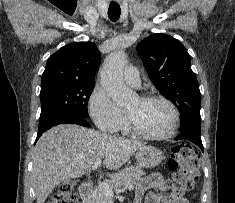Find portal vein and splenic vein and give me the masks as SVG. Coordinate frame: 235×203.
<instances>
[{
    "label": "portal vein and splenic vein",
    "instance_id": "portal-vein-and-splenic-vein-1",
    "mask_svg": "<svg viewBox=\"0 0 235 203\" xmlns=\"http://www.w3.org/2000/svg\"><path fill=\"white\" fill-rule=\"evenodd\" d=\"M101 165V160L98 159L94 165L92 166V170H95L97 169L99 166ZM99 187L101 188V190L104 192V194L106 196H109V197H113L114 195V192H113V189L110 187V185H108L106 182H100L99 183ZM128 190L131 191L134 189V185L133 184H129L127 186Z\"/></svg>",
    "mask_w": 235,
    "mask_h": 203
}]
</instances>
